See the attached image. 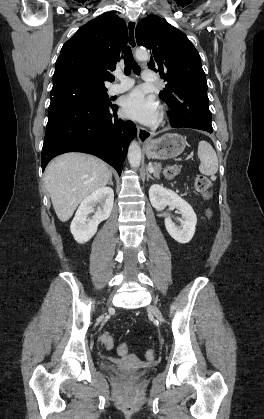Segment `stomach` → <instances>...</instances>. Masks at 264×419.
Instances as JSON below:
<instances>
[{
  "instance_id": "1",
  "label": "stomach",
  "mask_w": 264,
  "mask_h": 419,
  "mask_svg": "<svg viewBox=\"0 0 264 419\" xmlns=\"http://www.w3.org/2000/svg\"><path fill=\"white\" fill-rule=\"evenodd\" d=\"M185 147L186 139L182 135L169 133L147 141L145 152L148 158L166 160L179 156Z\"/></svg>"
}]
</instances>
